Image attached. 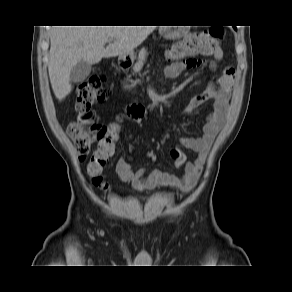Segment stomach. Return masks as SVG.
I'll return each mask as SVG.
<instances>
[{
	"label": "stomach",
	"instance_id": "stomach-1",
	"mask_svg": "<svg viewBox=\"0 0 292 292\" xmlns=\"http://www.w3.org/2000/svg\"><path fill=\"white\" fill-rule=\"evenodd\" d=\"M162 33H164L165 37L167 38H179L181 36L177 31L168 33L166 29H162ZM134 59V52H131L124 56H119V61L121 63H133Z\"/></svg>",
	"mask_w": 292,
	"mask_h": 292
}]
</instances>
